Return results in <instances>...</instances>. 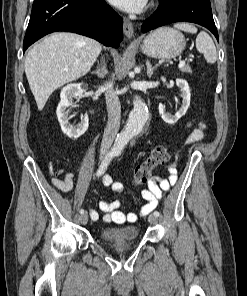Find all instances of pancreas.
Listing matches in <instances>:
<instances>
[{
	"mask_svg": "<svg viewBox=\"0 0 247 296\" xmlns=\"http://www.w3.org/2000/svg\"><path fill=\"white\" fill-rule=\"evenodd\" d=\"M180 71L183 73H192V70L189 65L183 66L182 68H180Z\"/></svg>",
	"mask_w": 247,
	"mask_h": 296,
	"instance_id": "cf45deb5",
	"label": "pancreas"
}]
</instances>
